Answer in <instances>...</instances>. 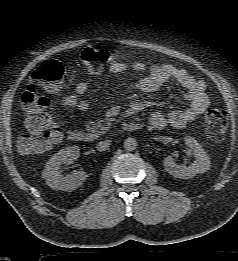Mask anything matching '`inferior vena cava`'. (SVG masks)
I'll return each instance as SVG.
<instances>
[{
  "label": "inferior vena cava",
  "mask_w": 238,
  "mask_h": 261,
  "mask_svg": "<svg viewBox=\"0 0 238 261\" xmlns=\"http://www.w3.org/2000/svg\"><path fill=\"white\" fill-rule=\"evenodd\" d=\"M110 146V140L107 141H101L97 144L96 148L98 151H105L109 148Z\"/></svg>",
  "instance_id": "inferior-vena-cava-1"
}]
</instances>
